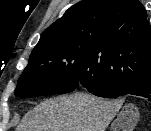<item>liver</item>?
<instances>
[{
  "mask_svg": "<svg viewBox=\"0 0 151 131\" xmlns=\"http://www.w3.org/2000/svg\"><path fill=\"white\" fill-rule=\"evenodd\" d=\"M120 107L87 93L59 96L28 111L16 131H105Z\"/></svg>",
  "mask_w": 151,
  "mask_h": 131,
  "instance_id": "liver-1",
  "label": "liver"
}]
</instances>
